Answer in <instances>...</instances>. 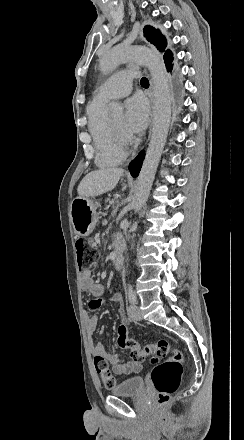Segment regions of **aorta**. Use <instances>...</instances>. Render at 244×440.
<instances>
[{
    "label": "aorta",
    "instance_id": "obj_1",
    "mask_svg": "<svg viewBox=\"0 0 244 440\" xmlns=\"http://www.w3.org/2000/svg\"><path fill=\"white\" fill-rule=\"evenodd\" d=\"M134 61L148 67L154 92V117L151 139L146 156L138 176L132 208L138 213L145 205L151 190L155 173L167 139L171 121V92L165 66L158 54L146 47L118 46L103 55L100 70L103 73L112 72L119 64ZM109 112L115 117L123 114L120 103L111 102Z\"/></svg>",
    "mask_w": 244,
    "mask_h": 440
}]
</instances>
